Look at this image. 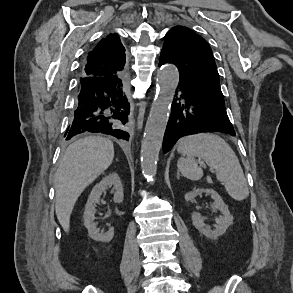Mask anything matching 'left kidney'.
<instances>
[{
	"mask_svg": "<svg viewBox=\"0 0 293 293\" xmlns=\"http://www.w3.org/2000/svg\"><path fill=\"white\" fill-rule=\"evenodd\" d=\"M206 193L210 195L214 200L212 208L219 210L222 216L215 218V228L211 229L210 226L204 223V218L197 212H193L191 215L193 225L195 228L210 239H217L223 235L227 228L233 223V216L228 210V206L224 203L221 196L213 189H194L185 194L184 198L186 202L194 200L198 195Z\"/></svg>",
	"mask_w": 293,
	"mask_h": 293,
	"instance_id": "5707ae66",
	"label": "left kidney"
}]
</instances>
